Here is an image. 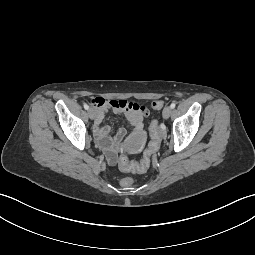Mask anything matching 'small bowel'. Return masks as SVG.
I'll return each instance as SVG.
<instances>
[{
    "instance_id": "obj_1",
    "label": "small bowel",
    "mask_w": 255,
    "mask_h": 255,
    "mask_svg": "<svg viewBox=\"0 0 255 255\" xmlns=\"http://www.w3.org/2000/svg\"><path fill=\"white\" fill-rule=\"evenodd\" d=\"M91 103L95 109L93 133L99 145L106 152L108 162L115 164L117 150L123 143L133 148L140 146L143 137L144 117L148 111L144 106L127 100H108L103 97H95ZM110 111L123 114L130 123L132 136L127 141L125 140L127 132L124 128H120L115 137L111 138L109 136L110 128L102 125L105 114Z\"/></svg>"
}]
</instances>
